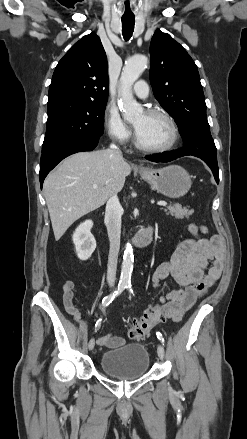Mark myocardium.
<instances>
[{
	"label": "myocardium",
	"instance_id": "obj_1",
	"mask_svg": "<svg viewBox=\"0 0 247 439\" xmlns=\"http://www.w3.org/2000/svg\"><path fill=\"white\" fill-rule=\"evenodd\" d=\"M145 114L148 116H160L163 117L164 119L167 120V122L170 125L171 128V139L170 141L164 145V146H160V147H149L144 145L138 138L137 133L135 131L134 133V144L135 146L144 152H148V153H163V152H167L172 150L178 143L179 141V137H180V133H179V128L178 125L176 123V120L174 119V117L169 114L167 111L162 110V109H148L145 111Z\"/></svg>",
	"mask_w": 247,
	"mask_h": 439
}]
</instances>
